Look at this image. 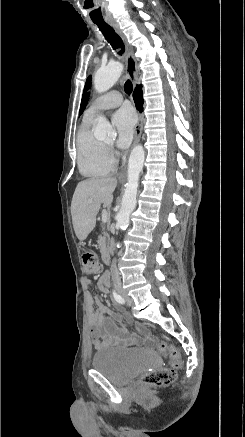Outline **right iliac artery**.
Listing matches in <instances>:
<instances>
[{
    "label": "right iliac artery",
    "mask_w": 245,
    "mask_h": 437,
    "mask_svg": "<svg viewBox=\"0 0 245 437\" xmlns=\"http://www.w3.org/2000/svg\"><path fill=\"white\" fill-rule=\"evenodd\" d=\"M113 296H114V299H115L118 303H120V304H124L125 300H124V298H123L121 295H119V294H117L115 291H113Z\"/></svg>",
    "instance_id": "82829eb1"
}]
</instances>
